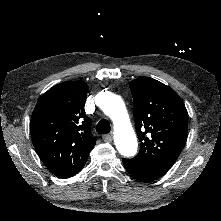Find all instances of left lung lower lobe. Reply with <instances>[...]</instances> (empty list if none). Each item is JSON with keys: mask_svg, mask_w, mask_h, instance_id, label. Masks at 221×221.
<instances>
[{"mask_svg": "<svg viewBox=\"0 0 221 221\" xmlns=\"http://www.w3.org/2000/svg\"><path fill=\"white\" fill-rule=\"evenodd\" d=\"M122 161L126 170L137 180L142 181V182H151L157 179L156 177L145 172L139 166L130 162L128 159H123Z\"/></svg>", "mask_w": 221, "mask_h": 221, "instance_id": "0a47b994", "label": "left lung lower lobe"}]
</instances>
